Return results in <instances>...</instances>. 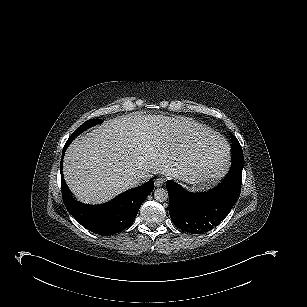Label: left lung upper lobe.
<instances>
[{"label": "left lung upper lobe", "instance_id": "1", "mask_svg": "<svg viewBox=\"0 0 307 307\" xmlns=\"http://www.w3.org/2000/svg\"><path fill=\"white\" fill-rule=\"evenodd\" d=\"M230 136L232 141V152H233L234 161L244 162L241 145L239 144L238 140L236 139V137H234L232 133H230Z\"/></svg>", "mask_w": 307, "mask_h": 307}]
</instances>
